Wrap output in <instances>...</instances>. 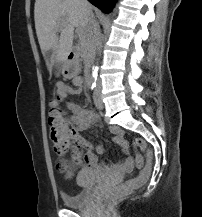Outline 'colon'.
I'll return each mask as SVG.
<instances>
[{
    "mask_svg": "<svg viewBox=\"0 0 202 217\" xmlns=\"http://www.w3.org/2000/svg\"><path fill=\"white\" fill-rule=\"evenodd\" d=\"M49 136L52 143L54 153L61 159L58 164V169L70 174L76 158L79 155L76 144L71 142L68 134L67 122L64 118L63 112L56 102H53L48 114ZM134 145L145 152L148 161L145 165L138 159L137 163L141 166L140 173L137 177L131 178L124 184L115 186L112 191L106 195L102 202L106 205L112 204L121 195L130 190L137 189L145 184L152 173L151 167V150L147 143L140 138L134 140Z\"/></svg>",
    "mask_w": 202,
    "mask_h": 217,
    "instance_id": "obj_1",
    "label": "colon"
}]
</instances>
